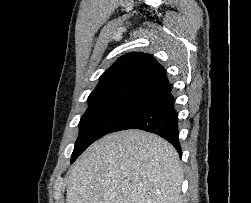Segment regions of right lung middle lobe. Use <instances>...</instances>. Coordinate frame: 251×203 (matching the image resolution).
Listing matches in <instances>:
<instances>
[{
	"label": "right lung middle lobe",
	"instance_id": "obj_1",
	"mask_svg": "<svg viewBox=\"0 0 251 203\" xmlns=\"http://www.w3.org/2000/svg\"><path fill=\"white\" fill-rule=\"evenodd\" d=\"M141 111L125 105L89 106L79 123V136L72 153L71 163L94 141L113 132L122 122Z\"/></svg>",
	"mask_w": 251,
	"mask_h": 203
}]
</instances>
